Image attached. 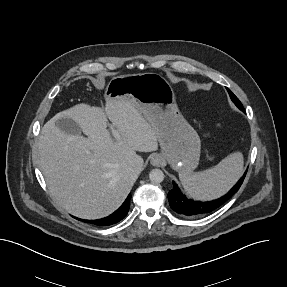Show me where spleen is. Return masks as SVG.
<instances>
[{
	"label": "spleen",
	"mask_w": 287,
	"mask_h": 287,
	"mask_svg": "<svg viewBox=\"0 0 287 287\" xmlns=\"http://www.w3.org/2000/svg\"><path fill=\"white\" fill-rule=\"evenodd\" d=\"M243 154L234 152L217 165L195 173H179L185 191L197 200H212L225 194L243 173Z\"/></svg>",
	"instance_id": "spleen-1"
}]
</instances>
